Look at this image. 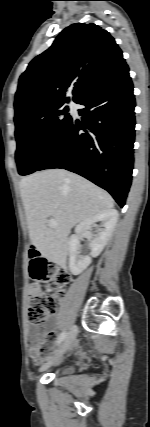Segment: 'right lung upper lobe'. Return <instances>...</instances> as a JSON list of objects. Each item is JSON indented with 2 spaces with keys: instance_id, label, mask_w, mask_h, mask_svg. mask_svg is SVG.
Segmentation results:
<instances>
[{
  "instance_id": "cb5924a9",
  "label": "right lung upper lobe",
  "mask_w": 150,
  "mask_h": 427,
  "mask_svg": "<svg viewBox=\"0 0 150 427\" xmlns=\"http://www.w3.org/2000/svg\"><path fill=\"white\" fill-rule=\"evenodd\" d=\"M127 64L114 38L101 27L76 23L65 28L52 46L34 58L20 76L15 96L17 121L43 108L63 105L73 88L78 103L91 89Z\"/></svg>"
}]
</instances>
